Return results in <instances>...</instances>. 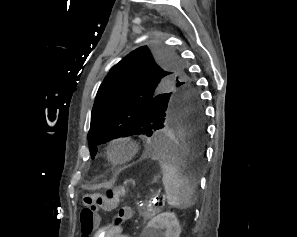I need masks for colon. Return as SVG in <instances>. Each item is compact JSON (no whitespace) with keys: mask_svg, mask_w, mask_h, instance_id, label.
<instances>
[{"mask_svg":"<svg viewBox=\"0 0 297 237\" xmlns=\"http://www.w3.org/2000/svg\"><path fill=\"white\" fill-rule=\"evenodd\" d=\"M119 189L109 190L106 194L90 193L83 196V208L80 213V228L82 237H91L97 228L100 211H111L116 208ZM130 216L127 208H120L114 219V225H119Z\"/></svg>","mask_w":297,"mask_h":237,"instance_id":"colon-1","label":"colon"}]
</instances>
